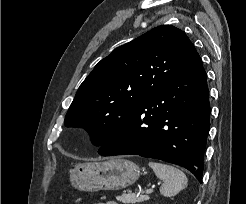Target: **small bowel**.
<instances>
[{
	"mask_svg": "<svg viewBox=\"0 0 246 204\" xmlns=\"http://www.w3.org/2000/svg\"><path fill=\"white\" fill-rule=\"evenodd\" d=\"M96 204H118V203H116L115 201H109V202H106V203H96Z\"/></svg>",
	"mask_w": 246,
	"mask_h": 204,
	"instance_id": "c3829d8e",
	"label": "small bowel"
}]
</instances>
